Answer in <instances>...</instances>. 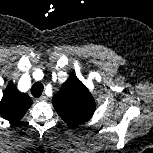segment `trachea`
Here are the masks:
<instances>
[{
  "instance_id": "trachea-1",
  "label": "trachea",
  "mask_w": 153,
  "mask_h": 153,
  "mask_svg": "<svg viewBox=\"0 0 153 153\" xmlns=\"http://www.w3.org/2000/svg\"><path fill=\"white\" fill-rule=\"evenodd\" d=\"M44 90L42 83L36 82L31 87V93L35 98H39Z\"/></svg>"
}]
</instances>
